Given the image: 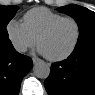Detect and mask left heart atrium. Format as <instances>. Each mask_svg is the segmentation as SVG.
Segmentation results:
<instances>
[{
	"label": "left heart atrium",
	"instance_id": "left-heart-atrium-1",
	"mask_svg": "<svg viewBox=\"0 0 95 95\" xmlns=\"http://www.w3.org/2000/svg\"><path fill=\"white\" fill-rule=\"evenodd\" d=\"M38 50L40 53L44 54L43 50L40 47L38 48Z\"/></svg>",
	"mask_w": 95,
	"mask_h": 95
}]
</instances>
